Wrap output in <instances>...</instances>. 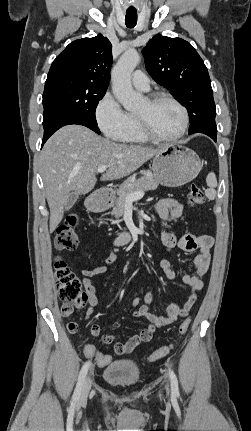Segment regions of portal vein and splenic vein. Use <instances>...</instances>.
<instances>
[{
  "label": "portal vein and splenic vein",
  "instance_id": "portal-vein-and-splenic-vein-1",
  "mask_svg": "<svg viewBox=\"0 0 251 431\" xmlns=\"http://www.w3.org/2000/svg\"><path fill=\"white\" fill-rule=\"evenodd\" d=\"M107 167L108 166H100V167H98L97 172L98 173H103L107 169ZM143 196H144V192L143 191H139V192L128 194L126 196V198H125V203L126 204H131L133 201L139 200Z\"/></svg>",
  "mask_w": 251,
  "mask_h": 431
}]
</instances>
